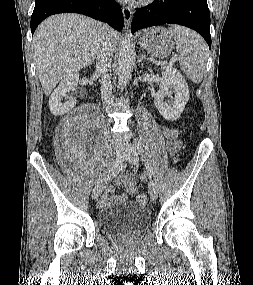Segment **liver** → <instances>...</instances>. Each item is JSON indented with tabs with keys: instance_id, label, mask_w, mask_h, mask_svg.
<instances>
[{
	"instance_id": "6515ba94",
	"label": "liver",
	"mask_w": 253,
	"mask_h": 285,
	"mask_svg": "<svg viewBox=\"0 0 253 285\" xmlns=\"http://www.w3.org/2000/svg\"><path fill=\"white\" fill-rule=\"evenodd\" d=\"M108 35L115 46L117 32ZM101 23L78 14L53 15L44 20L34 37V57L44 93L57 83L91 64L100 47Z\"/></svg>"
}]
</instances>
